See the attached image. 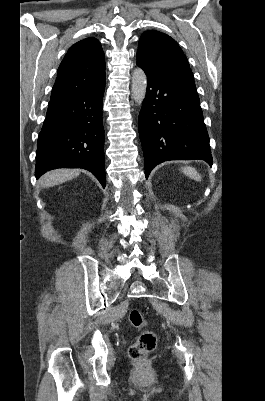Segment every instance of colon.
I'll return each instance as SVG.
<instances>
[{"label":"colon","mask_w":265,"mask_h":401,"mask_svg":"<svg viewBox=\"0 0 265 401\" xmlns=\"http://www.w3.org/2000/svg\"><path fill=\"white\" fill-rule=\"evenodd\" d=\"M130 323L137 328H142L146 325V320L139 310H132L129 313ZM157 336L153 331H143L131 345L129 355L133 360L141 361L145 359L156 347Z\"/></svg>","instance_id":"obj_1"}]
</instances>
